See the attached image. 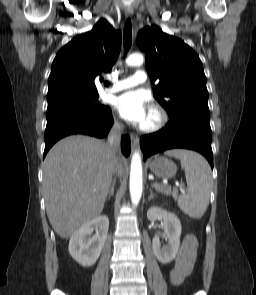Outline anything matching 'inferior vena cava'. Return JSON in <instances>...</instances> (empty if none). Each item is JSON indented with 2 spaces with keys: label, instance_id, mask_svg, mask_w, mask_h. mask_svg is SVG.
Instances as JSON below:
<instances>
[{
  "label": "inferior vena cava",
  "instance_id": "1",
  "mask_svg": "<svg viewBox=\"0 0 256 295\" xmlns=\"http://www.w3.org/2000/svg\"><path fill=\"white\" fill-rule=\"evenodd\" d=\"M122 130V124L115 122L108 137V146L110 153L114 158L113 164H111V174H113L114 177H119L120 167H122V159H118L119 157L117 155L120 148V137Z\"/></svg>",
  "mask_w": 256,
  "mask_h": 295
}]
</instances>
